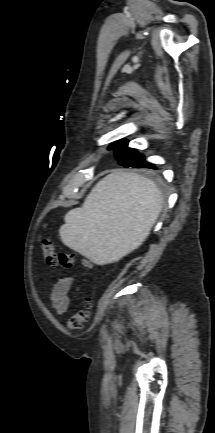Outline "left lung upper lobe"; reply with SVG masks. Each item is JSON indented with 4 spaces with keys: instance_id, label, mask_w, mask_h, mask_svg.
I'll list each match as a JSON object with an SVG mask.
<instances>
[{
    "instance_id": "left-lung-upper-lobe-1",
    "label": "left lung upper lobe",
    "mask_w": 215,
    "mask_h": 433,
    "mask_svg": "<svg viewBox=\"0 0 215 433\" xmlns=\"http://www.w3.org/2000/svg\"><path fill=\"white\" fill-rule=\"evenodd\" d=\"M129 140L121 139L115 141L109 145L108 149L113 148L115 153V158L118 163L124 167H127L131 163L143 164L145 167L154 168V165L147 163L144 160V156L136 149L128 147Z\"/></svg>"
}]
</instances>
